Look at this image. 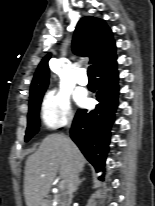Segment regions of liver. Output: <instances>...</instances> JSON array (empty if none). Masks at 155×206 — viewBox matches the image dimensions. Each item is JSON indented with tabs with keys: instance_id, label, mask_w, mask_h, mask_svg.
<instances>
[{
	"instance_id": "1",
	"label": "liver",
	"mask_w": 155,
	"mask_h": 206,
	"mask_svg": "<svg viewBox=\"0 0 155 206\" xmlns=\"http://www.w3.org/2000/svg\"><path fill=\"white\" fill-rule=\"evenodd\" d=\"M85 163L84 156L69 138L60 134L47 136L39 149L26 161L24 177L26 205L39 206L49 193L57 173L67 187L72 165L77 172H81Z\"/></svg>"
}]
</instances>
